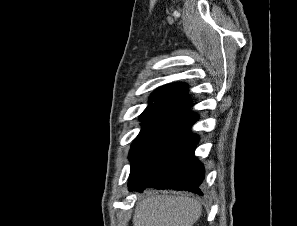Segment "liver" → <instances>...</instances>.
I'll return each mask as SVG.
<instances>
[{
    "label": "liver",
    "mask_w": 297,
    "mask_h": 226,
    "mask_svg": "<svg viewBox=\"0 0 297 226\" xmlns=\"http://www.w3.org/2000/svg\"><path fill=\"white\" fill-rule=\"evenodd\" d=\"M202 206L188 196L155 195L137 203L133 226H193Z\"/></svg>",
    "instance_id": "obj_1"
}]
</instances>
